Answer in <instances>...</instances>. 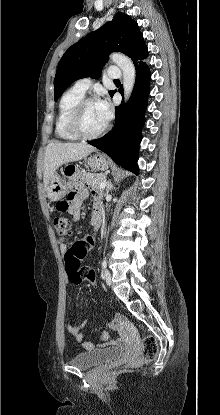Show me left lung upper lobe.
I'll return each instance as SVG.
<instances>
[{
  "label": "left lung upper lobe",
  "mask_w": 220,
  "mask_h": 415,
  "mask_svg": "<svg viewBox=\"0 0 220 415\" xmlns=\"http://www.w3.org/2000/svg\"><path fill=\"white\" fill-rule=\"evenodd\" d=\"M113 51L128 55L134 64L148 56L138 24L124 13H117L111 22L89 33L65 52L54 79L55 100L75 80L98 78Z\"/></svg>",
  "instance_id": "left-lung-upper-lobe-1"
}]
</instances>
